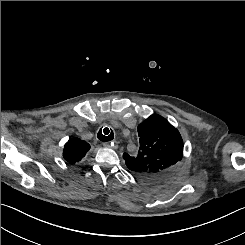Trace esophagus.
<instances>
[{
	"instance_id": "obj_1",
	"label": "esophagus",
	"mask_w": 245,
	"mask_h": 245,
	"mask_svg": "<svg viewBox=\"0 0 245 245\" xmlns=\"http://www.w3.org/2000/svg\"><path fill=\"white\" fill-rule=\"evenodd\" d=\"M105 148H109L111 145H112V143H110V142H103V144H102Z\"/></svg>"
}]
</instances>
